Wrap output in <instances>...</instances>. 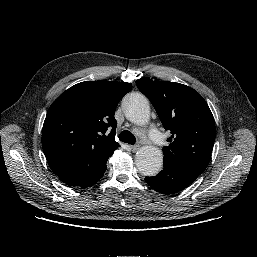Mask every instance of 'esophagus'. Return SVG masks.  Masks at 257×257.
Returning a JSON list of instances; mask_svg holds the SVG:
<instances>
[{
	"instance_id": "1",
	"label": "esophagus",
	"mask_w": 257,
	"mask_h": 257,
	"mask_svg": "<svg viewBox=\"0 0 257 257\" xmlns=\"http://www.w3.org/2000/svg\"><path fill=\"white\" fill-rule=\"evenodd\" d=\"M139 148H140V145H132V146H131V150H132V152H136V151H138V150H139Z\"/></svg>"
}]
</instances>
